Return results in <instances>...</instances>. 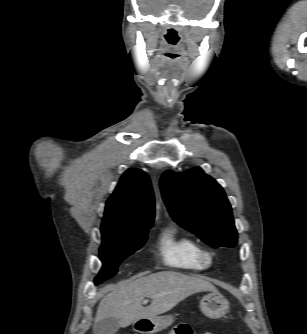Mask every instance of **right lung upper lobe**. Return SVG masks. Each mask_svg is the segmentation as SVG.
<instances>
[{
  "instance_id": "cb5924a9",
  "label": "right lung upper lobe",
  "mask_w": 307,
  "mask_h": 334,
  "mask_svg": "<svg viewBox=\"0 0 307 334\" xmlns=\"http://www.w3.org/2000/svg\"><path fill=\"white\" fill-rule=\"evenodd\" d=\"M154 216V194L148 175L140 169H129L106 203L101 233L151 227Z\"/></svg>"
}]
</instances>
